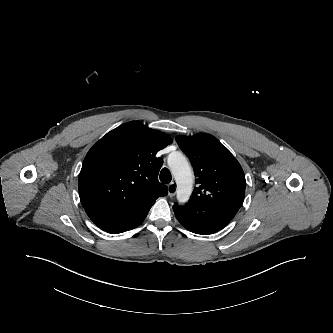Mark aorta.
<instances>
[{
  "mask_svg": "<svg viewBox=\"0 0 333 333\" xmlns=\"http://www.w3.org/2000/svg\"><path fill=\"white\" fill-rule=\"evenodd\" d=\"M168 165L177 184V200L186 203L192 193L193 173L190 164L182 153L175 152L169 156Z\"/></svg>",
  "mask_w": 333,
  "mask_h": 333,
  "instance_id": "762f6f07",
  "label": "aorta"
}]
</instances>
